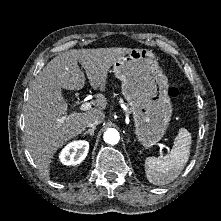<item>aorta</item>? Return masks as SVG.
<instances>
[{"instance_id":"1","label":"aorta","mask_w":221,"mask_h":221,"mask_svg":"<svg viewBox=\"0 0 221 221\" xmlns=\"http://www.w3.org/2000/svg\"><path fill=\"white\" fill-rule=\"evenodd\" d=\"M103 138L106 143L115 145L119 142L120 135L116 129L109 128L105 131Z\"/></svg>"}]
</instances>
